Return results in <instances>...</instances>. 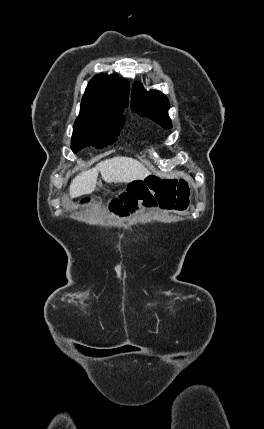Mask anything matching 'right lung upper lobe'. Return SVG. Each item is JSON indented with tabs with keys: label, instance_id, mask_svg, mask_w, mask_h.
Wrapping results in <instances>:
<instances>
[{
	"label": "right lung upper lobe",
	"instance_id": "obj_1",
	"mask_svg": "<svg viewBox=\"0 0 264 429\" xmlns=\"http://www.w3.org/2000/svg\"><path fill=\"white\" fill-rule=\"evenodd\" d=\"M129 84L115 76L96 75L89 82L81 104L128 105Z\"/></svg>",
	"mask_w": 264,
	"mask_h": 429
}]
</instances>
